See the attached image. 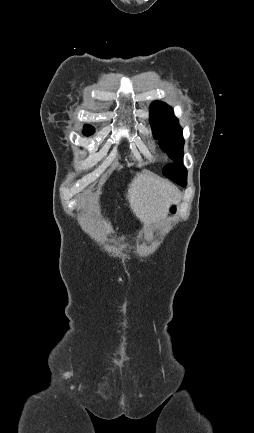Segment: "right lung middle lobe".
<instances>
[{
    "label": "right lung middle lobe",
    "mask_w": 254,
    "mask_h": 433,
    "mask_svg": "<svg viewBox=\"0 0 254 433\" xmlns=\"http://www.w3.org/2000/svg\"><path fill=\"white\" fill-rule=\"evenodd\" d=\"M94 132V128L92 127V126H90V125H86L85 127H84V134L85 135H90V134H92Z\"/></svg>",
    "instance_id": "1"
}]
</instances>
